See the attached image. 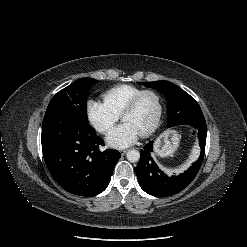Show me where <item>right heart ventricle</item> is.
Here are the masks:
<instances>
[{"label":"right heart ventricle","mask_w":247,"mask_h":247,"mask_svg":"<svg viewBox=\"0 0 247 247\" xmlns=\"http://www.w3.org/2000/svg\"><path fill=\"white\" fill-rule=\"evenodd\" d=\"M141 91H143V89L140 87L122 84L107 90L103 94V99L110 109L118 115H121L125 106Z\"/></svg>","instance_id":"1"}]
</instances>
